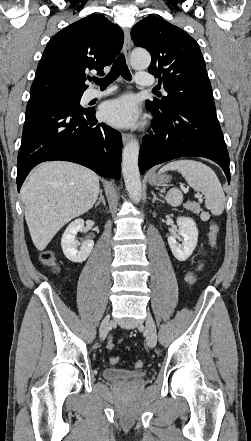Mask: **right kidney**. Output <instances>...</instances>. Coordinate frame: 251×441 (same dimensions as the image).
Returning <instances> with one entry per match:
<instances>
[{"instance_id":"ca27d5eb","label":"right kidney","mask_w":251,"mask_h":441,"mask_svg":"<svg viewBox=\"0 0 251 441\" xmlns=\"http://www.w3.org/2000/svg\"><path fill=\"white\" fill-rule=\"evenodd\" d=\"M84 228V220L79 218L71 222L66 228L61 239V246L66 258L75 263H81L85 261L90 255L94 241L86 240L81 244L80 249L78 246L80 242L76 240V234L82 231Z\"/></svg>"}]
</instances>
